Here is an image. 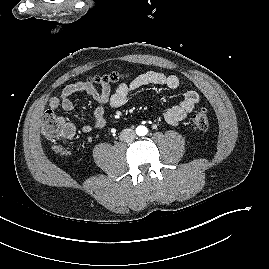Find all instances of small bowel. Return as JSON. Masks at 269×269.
<instances>
[{
    "instance_id": "c3829d8e",
    "label": "small bowel",
    "mask_w": 269,
    "mask_h": 269,
    "mask_svg": "<svg viewBox=\"0 0 269 269\" xmlns=\"http://www.w3.org/2000/svg\"><path fill=\"white\" fill-rule=\"evenodd\" d=\"M148 85L165 86L169 89H176L180 85V80L176 75H166L162 72L147 71L136 76L128 83L119 84L114 91L111 86L101 83L100 88H96L89 81H78L66 85L58 97H52L48 102V111L54 112L58 108L64 111L73 109L71 97L78 92L87 93L98 104L93 113L91 123L82 126L84 133H90L94 129H101L106 124L105 111L106 108H119L126 102L131 92ZM200 101L199 94L194 90L187 91L183 99L171 107L164 114L166 122L171 125H177L183 121L186 116L192 112ZM75 132L73 125L67 124L66 137H71Z\"/></svg>"
}]
</instances>
